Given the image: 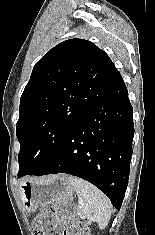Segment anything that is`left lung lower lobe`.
Masks as SVG:
<instances>
[{
  "label": "left lung lower lobe",
  "mask_w": 155,
  "mask_h": 235,
  "mask_svg": "<svg viewBox=\"0 0 155 235\" xmlns=\"http://www.w3.org/2000/svg\"><path fill=\"white\" fill-rule=\"evenodd\" d=\"M133 136V109L116 70L50 161L32 175L80 177L103 191L120 210L128 185Z\"/></svg>",
  "instance_id": "obj_1"
}]
</instances>
